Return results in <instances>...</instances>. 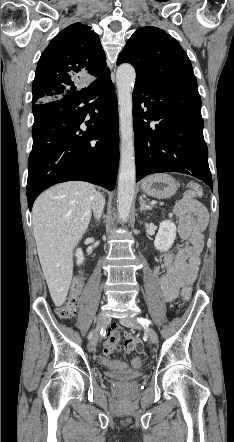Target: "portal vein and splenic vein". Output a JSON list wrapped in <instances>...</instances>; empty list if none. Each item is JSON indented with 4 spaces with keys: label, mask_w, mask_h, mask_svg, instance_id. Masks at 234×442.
Listing matches in <instances>:
<instances>
[{
    "label": "portal vein and splenic vein",
    "mask_w": 234,
    "mask_h": 442,
    "mask_svg": "<svg viewBox=\"0 0 234 442\" xmlns=\"http://www.w3.org/2000/svg\"><path fill=\"white\" fill-rule=\"evenodd\" d=\"M154 204H156V202H151V205H154Z\"/></svg>",
    "instance_id": "1"
}]
</instances>
